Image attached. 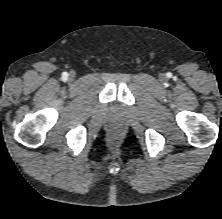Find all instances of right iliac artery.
<instances>
[{
	"label": "right iliac artery",
	"instance_id": "1",
	"mask_svg": "<svg viewBox=\"0 0 222 219\" xmlns=\"http://www.w3.org/2000/svg\"><path fill=\"white\" fill-rule=\"evenodd\" d=\"M67 77H68V73L64 72V73H63V78L66 79Z\"/></svg>",
	"mask_w": 222,
	"mask_h": 219
}]
</instances>
